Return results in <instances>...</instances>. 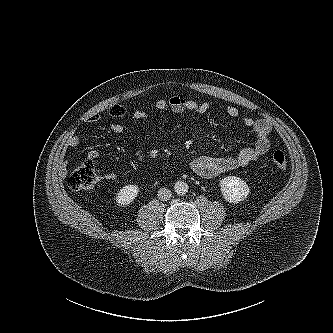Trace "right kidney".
<instances>
[{
  "mask_svg": "<svg viewBox=\"0 0 333 333\" xmlns=\"http://www.w3.org/2000/svg\"><path fill=\"white\" fill-rule=\"evenodd\" d=\"M138 193L139 187L137 185H126L116 194V203L119 206H128L136 199Z\"/></svg>",
  "mask_w": 333,
  "mask_h": 333,
  "instance_id": "ca27d5eb",
  "label": "right kidney"
}]
</instances>
